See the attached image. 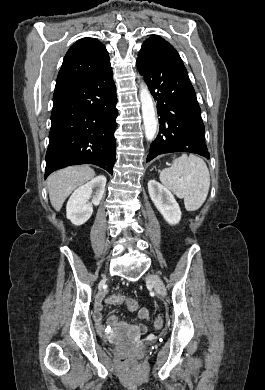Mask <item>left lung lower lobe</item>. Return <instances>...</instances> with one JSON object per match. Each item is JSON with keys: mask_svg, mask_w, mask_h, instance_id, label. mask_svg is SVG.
Wrapping results in <instances>:
<instances>
[{"mask_svg": "<svg viewBox=\"0 0 265 390\" xmlns=\"http://www.w3.org/2000/svg\"><path fill=\"white\" fill-rule=\"evenodd\" d=\"M137 68L157 101L160 129L146 162L174 152L210 158L201 109L184 66L167 65L138 56Z\"/></svg>", "mask_w": 265, "mask_h": 390, "instance_id": "0a47b994", "label": "left lung lower lobe"}]
</instances>
